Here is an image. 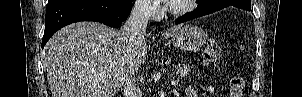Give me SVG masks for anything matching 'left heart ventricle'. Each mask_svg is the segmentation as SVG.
<instances>
[{
    "label": "left heart ventricle",
    "instance_id": "b2bd125f",
    "mask_svg": "<svg viewBox=\"0 0 302 97\" xmlns=\"http://www.w3.org/2000/svg\"><path fill=\"white\" fill-rule=\"evenodd\" d=\"M185 3V0H176L172 4L175 6H179Z\"/></svg>",
    "mask_w": 302,
    "mask_h": 97
}]
</instances>
